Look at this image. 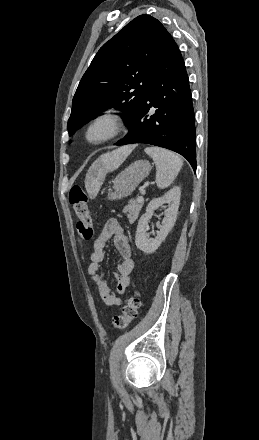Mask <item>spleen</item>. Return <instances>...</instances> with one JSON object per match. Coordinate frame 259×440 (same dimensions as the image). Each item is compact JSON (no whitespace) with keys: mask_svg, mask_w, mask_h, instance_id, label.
<instances>
[{"mask_svg":"<svg viewBox=\"0 0 259 440\" xmlns=\"http://www.w3.org/2000/svg\"><path fill=\"white\" fill-rule=\"evenodd\" d=\"M156 165V184L158 188L169 187L182 168L183 161L175 153L159 147L145 148Z\"/></svg>","mask_w":259,"mask_h":440,"instance_id":"3e777b00","label":"spleen"}]
</instances>
